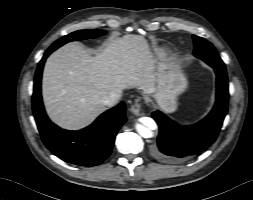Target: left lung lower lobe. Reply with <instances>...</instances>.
Instances as JSON below:
<instances>
[{"mask_svg":"<svg viewBox=\"0 0 253 200\" xmlns=\"http://www.w3.org/2000/svg\"><path fill=\"white\" fill-rule=\"evenodd\" d=\"M216 73V103L211 112L200 122L181 126L161 111L152 113L159 126L157 143L152 154L157 159L178 163L207 149L218 137L228 107V79L226 70L212 67Z\"/></svg>","mask_w":253,"mask_h":200,"instance_id":"obj_1","label":"left lung lower lobe"}]
</instances>
